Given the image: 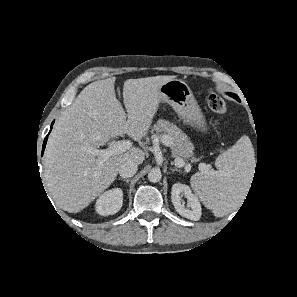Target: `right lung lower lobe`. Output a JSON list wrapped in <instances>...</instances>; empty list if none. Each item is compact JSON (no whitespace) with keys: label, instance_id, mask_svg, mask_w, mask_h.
<instances>
[{"label":"right lung lower lobe","instance_id":"1","mask_svg":"<svg viewBox=\"0 0 297 297\" xmlns=\"http://www.w3.org/2000/svg\"><path fill=\"white\" fill-rule=\"evenodd\" d=\"M53 123H54V122H52V125H53ZM52 125H51V129H52ZM51 129H50V131H51ZM47 138H48V135L45 137V140H44V142H43L42 155H43V153H44V149H45V146H46V143H47Z\"/></svg>","mask_w":297,"mask_h":297}]
</instances>
